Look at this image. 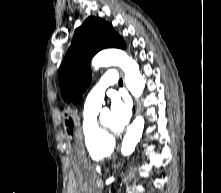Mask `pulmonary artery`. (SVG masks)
I'll list each match as a JSON object with an SVG mask.
<instances>
[{
	"label": "pulmonary artery",
	"mask_w": 221,
	"mask_h": 193,
	"mask_svg": "<svg viewBox=\"0 0 221 193\" xmlns=\"http://www.w3.org/2000/svg\"><path fill=\"white\" fill-rule=\"evenodd\" d=\"M118 81V73L110 69L104 73L99 83L90 91L85 102L84 111L98 110L104 98L107 87L116 84Z\"/></svg>",
	"instance_id": "1"
}]
</instances>
